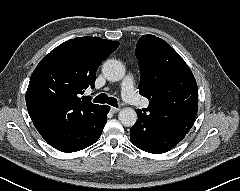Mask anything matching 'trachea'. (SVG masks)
<instances>
[{
  "mask_svg": "<svg viewBox=\"0 0 240 191\" xmlns=\"http://www.w3.org/2000/svg\"><path fill=\"white\" fill-rule=\"evenodd\" d=\"M94 103H108L111 106L117 107V100L114 97H108L106 94H99L93 100Z\"/></svg>",
  "mask_w": 240,
  "mask_h": 191,
  "instance_id": "trachea-1",
  "label": "trachea"
}]
</instances>
